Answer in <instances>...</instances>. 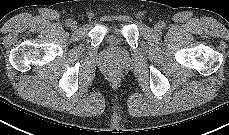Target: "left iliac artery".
<instances>
[{"mask_svg": "<svg viewBox=\"0 0 229 135\" xmlns=\"http://www.w3.org/2000/svg\"><path fill=\"white\" fill-rule=\"evenodd\" d=\"M161 27H162V28L165 27V23H164V22L161 23Z\"/></svg>", "mask_w": 229, "mask_h": 135, "instance_id": "1", "label": "left iliac artery"}]
</instances>
